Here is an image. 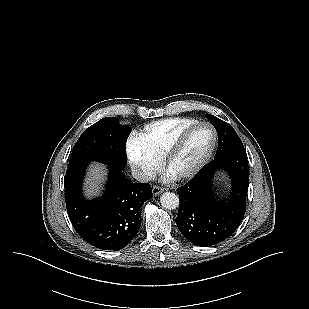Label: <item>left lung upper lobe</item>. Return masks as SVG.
<instances>
[{
    "label": "left lung upper lobe",
    "instance_id": "obj_1",
    "mask_svg": "<svg viewBox=\"0 0 309 309\" xmlns=\"http://www.w3.org/2000/svg\"><path fill=\"white\" fill-rule=\"evenodd\" d=\"M207 118L214 125L216 130L221 132L218 134V148L215 157L228 151L244 148L239 136L228 123L213 115H207Z\"/></svg>",
    "mask_w": 309,
    "mask_h": 309
}]
</instances>
